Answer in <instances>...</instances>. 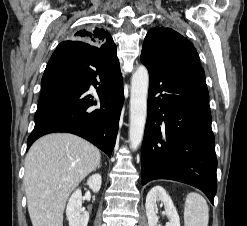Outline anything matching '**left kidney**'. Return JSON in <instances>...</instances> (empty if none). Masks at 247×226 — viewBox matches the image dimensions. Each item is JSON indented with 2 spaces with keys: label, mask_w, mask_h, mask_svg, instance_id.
<instances>
[{
  "label": "left kidney",
  "mask_w": 247,
  "mask_h": 226,
  "mask_svg": "<svg viewBox=\"0 0 247 226\" xmlns=\"http://www.w3.org/2000/svg\"><path fill=\"white\" fill-rule=\"evenodd\" d=\"M161 201L164 205V214L168 217L169 221L166 226H180V219L177 210L173 204L172 199L167 194L165 189L161 186L153 187L146 196V215L148 218L149 226H157L158 215L155 210L156 202Z\"/></svg>",
  "instance_id": "5707ae66"
}]
</instances>
